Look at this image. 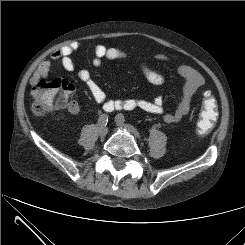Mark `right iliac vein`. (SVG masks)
Returning a JSON list of instances; mask_svg holds the SVG:
<instances>
[{
    "mask_svg": "<svg viewBox=\"0 0 245 245\" xmlns=\"http://www.w3.org/2000/svg\"><path fill=\"white\" fill-rule=\"evenodd\" d=\"M108 133V127L104 126V125H100L99 129H98V134L101 137L106 136Z\"/></svg>",
    "mask_w": 245,
    "mask_h": 245,
    "instance_id": "1",
    "label": "right iliac vein"
}]
</instances>
